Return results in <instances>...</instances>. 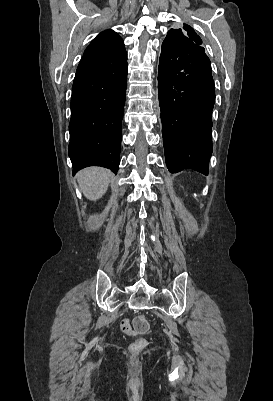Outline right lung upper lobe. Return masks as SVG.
Instances as JSON below:
<instances>
[{"label": "right lung upper lobe", "mask_w": 273, "mask_h": 401, "mask_svg": "<svg viewBox=\"0 0 273 401\" xmlns=\"http://www.w3.org/2000/svg\"><path fill=\"white\" fill-rule=\"evenodd\" d=\"M127 58L124 42L113 30L97 35L86 48L74 81L98 74Z\"/></svg>", "instance_id": "right-lung-upper-lobe-1"}]
</instances>
